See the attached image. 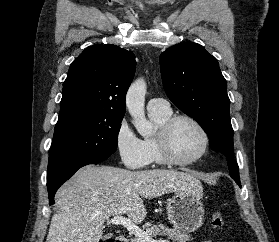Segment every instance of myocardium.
I'll return each mask as SVG.
<instances>
[{
    "instance_id": "f54148a6",
    "label": "myocardium",
    "mask_w": 279,
    "mask_h": 242,
    "mask_svg": "<svg viewBox=\"0 0 279 242\" xmlns=\"http://www.w3.org/2000/svg\"><path fill=\"white\" fill-rule=\"evenodd\" d=\"M179 121H187L193 124L202 136V148L200 152L188 160H181L175 156L171 148V132L175 124ZM155 140L160 154L167 164L175 166H189L199 161L208 151L210 139L204 126L194 117L186 114L173 115L167 119L157 130Z\"/></svg>"
}]
</instances>
